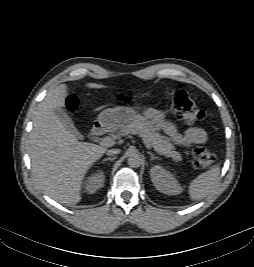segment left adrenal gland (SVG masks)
Segmentation results:
<instances>
[{
    "instance_id": "obj_1",
    "label": "left adrenal gland",
    "mask_w": 254,
    "mask_h": 267,
    "mask_svg": "<svg viewBox=\"0 0 254 267\" xmlns=\"http://www.w3.org/2000/svg\"><path fill=\"white\" fill-rule=\"evenodd\" d=\"M147 153L150 155V160H151V161L154 160V159L160 160V158L157 157V156H155L152 152L147 151Z\"/></svg>"
}]
</instances>
